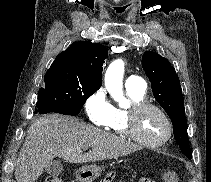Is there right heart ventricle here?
I'll list each match as a JSON object with an SVG mask.
<instances>
[{
	"instance_id": "1",
	"label": "right heart ventricle",
	"mask_w": 211,
	"mask_h": 182,
	"mask_svg": "<svg viewBox=\"0 0 211 182\" xmlns=\"http://www.w3.org/2000/svg\"><path fill=\"white\" fill-rule=\"evenodd\" d=\"M127 94L133 103L144 100V94L137 93L130 90H127ZM126 113H127L126 109L113 106L112 114L108 122L104 125V127L107 130L112 131L116 134L128 136V133L126 130V127H127Z\"/></svg>"
}]
</instances>
